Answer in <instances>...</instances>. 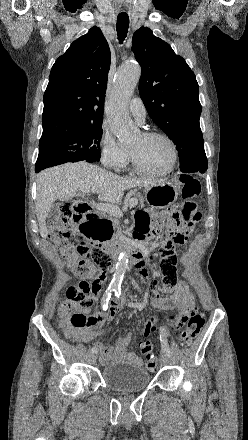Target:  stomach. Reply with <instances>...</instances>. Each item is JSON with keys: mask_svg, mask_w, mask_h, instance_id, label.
Listing matches in <instances>:
<instances>
[{"mask_svg": "<svg viewBox=\"0 0 248 440\" xmlns=\"http://www.w3.org/2000/svg\"><path fill=\"white\" fill-rule=\"evenodd\" d=\"M178 189L170 182H159L145 188V199L148 204L162 209L173 204L178 198ZM106 211L99 209L92 221V228H78L76 241H100L101 246H112V232H115L113 218H104Z\"/></svg>", "mask_w": 248, "mask_h": 440, "instance_id": "0dacf381", "label": "stomach"}]
</instances>
